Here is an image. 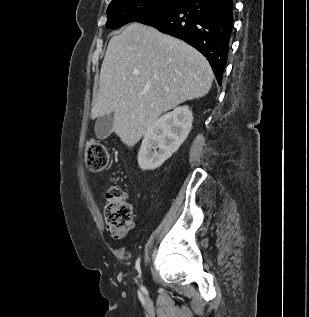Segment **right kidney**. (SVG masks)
<instances>
[{"mask_svg":"<svg viewBox=\"0 0 309 317\" xmlns=\"http://www.w3.org/2000/svg\"><path fill=\"white\" fill-rule=\"evenodd\" d=\"M192 123L188 106L177 107L155 120L144 134L138 153L139 167L144 171L160 167L185 141Z\"/></svg>","mask_w":309,"mask_h":317,"instance_id":"1","label":"right kidney"}]
</instances>
